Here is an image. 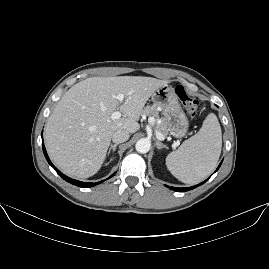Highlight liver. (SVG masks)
I'll list each match as a JSON object with an SVG mask.
<instances>
[{"mask_svg":"<svg viewBox=\"0 0 269 269\" xmlns=\"http://www.w3.org/2000/svg\"><path fill=\"white\" fill-rule=\"evenodd\" d=\"M169 81L143 76L89 77L61 98L45 127V144L54 163L67 175L94 176L102 168L112 134L140 129L150 97ZM123 94L125 101L117 99ZM121 111L123 117L112 114Z\"/></svg>","mask_w":269,"mask_h":269,"instance_id":"6515ba94","label":"liver"}]
</instances>
